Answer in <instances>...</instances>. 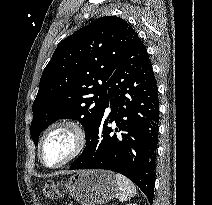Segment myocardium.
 I'll return each mask as SVG.
<instances>
[{"mask_svg":"<svg viewBox=\"0 0 212 205\" xmlns=\"http://www.w3.org/2000/svg\"><path fill=\"white\" fill-rule=\"evenodd\" d=\"M58 130H65L71 134L73 146L70 153L64 159L55 164H48L43 157V148L49 136ZM86 142V131L78 121L73 119H60L53 122L44 130L38 145V156L43 165L49 168H58L75 159L85 148Z\"/></svg>","mask_w":212,"mask_h":205,"instance_id":"obj_1","label":"myocardium"}]
</instances>
